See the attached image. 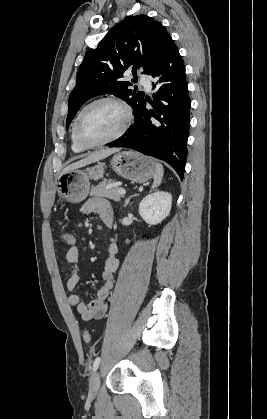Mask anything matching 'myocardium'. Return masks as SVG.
Here are the masks:
<instances>
[{
  "instance_id": "obj_1",
  "label": "myocardium",
  "mask_w": 267,
  "mask_h": 419,
  "mask_svg": "<svg viewBox=\"0 0 267 419\" xmlns=\"http://www.w3.org/2000/svg\"><path fill=\"white\" fill-rule=\"evenodd\" d=\"M103 102H110L113 103L117 106H119L123 112L124 115V120L122 125L120 126V128L110 137L99 141L97 143H86L82 140V138L80 137L79 134V125H80V121L81 118L83 116V114L85 113V111L90 108L91 106L98 104V103H103ZM133 120V112L132 109L130 107V105L123 99L116 97V96H102L99 98H96L92 101H90L89 103H87L78 113L75 122H74V127H73V133H74V138L77 141V143L85 148V149H92V148H97L103 145H106L108 143H111L117 139H119L130 127L131 123Z\"/></svg>"
}]
</instances>
